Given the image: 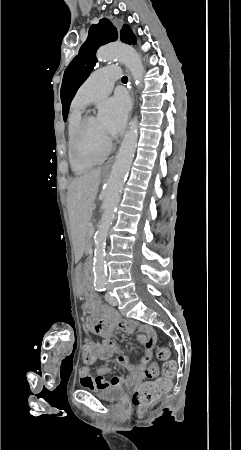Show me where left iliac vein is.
Masks as SVG:
<instances>
[{"label": "left iliac vein", "instance_id": "left-iliac-vein-1", "mask_svg": "<svg viewBox=\"0 0 241 450\" xmlns=\"http://www.w3.org/2000/svg\"><path fill=\"white\" fill-rule=\"evenodd\" d=\"M105 298H106L107 302L109 304H111V305H117L118 304L117 299L115 297H113L109 292H107L105 294Z\"/></svg>", "mask_w": 241, "mask_h": 450}]
</instances>
